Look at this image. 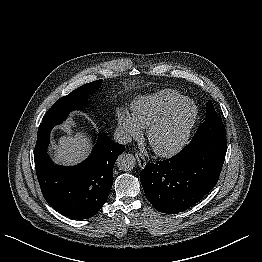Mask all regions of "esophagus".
I'll return each instance as SVG.
<instances>
[{"label":"esophagus","mask_w":262,"mask_h":262,"mask_svg":"<svg viewBox=\"0 0 262 262\" xmlns=\"http://www.w3.org/2000/svg\"><path fill=\"white\" fill-rule=\"evenodd\" d=\"M135 157L137 159V162H138V165L141 167V168H144L146 166V159L145 157L142 155V153L140 152H136L135 153Z\"/></svg>","instance_id":"esophagus-1"}]
</instances>
